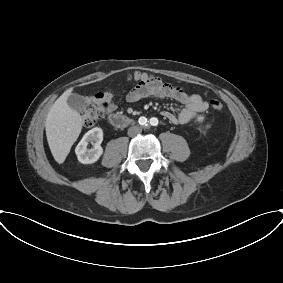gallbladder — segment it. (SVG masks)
Returning a JSON list of instances; mask_svg holds the SVG:
<instances>
[{
	"instance_id": "gallbladder-1",
	"label": "gallbladder",
	"mask_w": 283,
	"mask_h": 283,
	"mask_svg": "<svg viewBox=\"0 0 283 283\" xmlns=\"http://www.w3.org/2000/svg\"><path fill=\"white\" fill-rule=\"evenodd\" d=\"M85 103L84 97L76 93L70 94L67 98V104L69 107L77 112H81L83 110Z\"/></svg>"
}]
</instances>
